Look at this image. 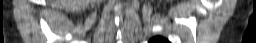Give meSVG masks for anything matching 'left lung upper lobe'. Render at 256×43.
I'll list each match as a JSON object with an SVG mask.
<instances>
[{"mask_svg": "<svg viewBox=\"0 0 256 43\" xmlns=\"http://www.w3.org/2000/svg\"><path fill=\"white\" fill-rule=\"evenodd\" d=\"M149 43H169V41H167L165 38L163 37H154L152 38Z\"/></svg>", "mask_w": 256, "mask_h": 43, "instance_id": "obj_1", "label": "left lung upper lobe"}]
</instances>
